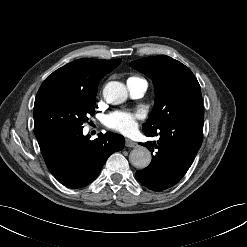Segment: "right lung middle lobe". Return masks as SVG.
<instances>
[{"mask_svg": "<svg viewBox=\"0 0 247 247\" xmlns=\"http://www.w3.org/2000/svg\"><path fill=\"white\" fill-rule=\"evenodd\" d=\"M96 96L50 93L35 99L34 129L82 130L83 123L95 114Z\"/></svg>", "mask_w": 247, "mask_h": 247, "instance_id": "obj_1", "label": "right lung middle lobe"}]
</instances>
